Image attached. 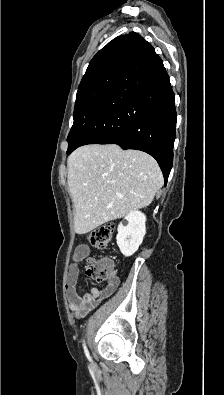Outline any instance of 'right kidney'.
<instances>
[{
    "mask_svg": "<svg viewBox=\"0 0 224 395\" xmlns=\"http://www.w3.org/2000/svg\"><path fill=\"white\" fill-rule=\"evenodd\" d=\"M128 224L118 225L117 245L125 257L132 256L142 244L146 234V216L140 211H133L125 216Z\"/></svg>",
    "mask_w": 224,
    "mask_h": 395,
    "instance_id": "right-kidney-1",
    "label": "right kidney"
}]
</instances>
